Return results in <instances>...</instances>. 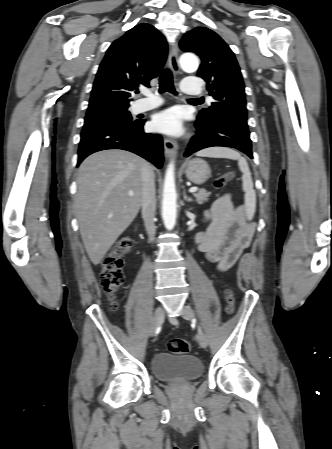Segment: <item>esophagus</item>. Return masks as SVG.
<instances>
[{
  "label": "esophagus",
  "instance_id": "34e87169",
  "mask_svg": "<svg viewBox=\"0 0 332 449\" xmlns=\"http://www.w3.org/2000/svg\"><path fill=\"white\" fill-rule=\"evenodd\" d=\"M169 66L175 75L180 73L179 63H178V46L173 44L169 52ZM177 144L174 140L170 138L164 139V150L167 157H171L177 152Z\"/></svg>",
  "mask_w": 332,
  "mask_h": 449
}]
</instances>
